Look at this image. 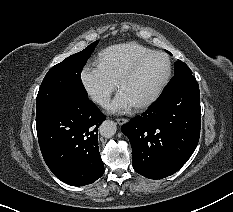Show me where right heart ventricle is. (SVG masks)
<instances>
[{"instance_id": "right-heart-ventricle-1", "label": "right heart ventricle", "mask_w": 233, "mask_h": 212, "mask_svg": "<svg viewBox=\"0 0 233 212\" xmlns=\"http://www.w3.org/2000/svg\"><path fill=\"white\" fill-rule=\"evenodd\" d=\"M151 51L135 42L113 45L98 54V65L117 83L136 59Z\"/></svg>"}]
</instances>
